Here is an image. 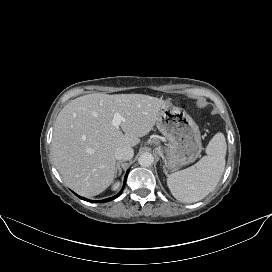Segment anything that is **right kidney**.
I'll use <instances>...</instances> for the list:
<instances>
[{
	"label": "right kidney",
	"mask_w": 272,
	"mask_h": 272,
	"mask_svg": "<svg viewBox=\"0 0 272 272\" xmlns=\"http://www.w3.org/2000/svg\"><path fill=\"white\" fill-rule=\"evenodd\" d=\"M118 186H119V183L116 182V183L113 185L112 189H113V190H116V189L118 188Z\"/></svg>",
	"instance_id": "right-kidney-1"
}]
</instances>
